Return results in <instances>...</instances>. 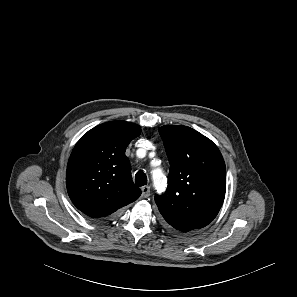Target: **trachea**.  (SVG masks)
Returning a JSON list of instances; mask_svg holds the SVG:
<instances>
[{
    "instance_id": "obj_1",
    "label": "trachea",
    "mask_w": 297,
    "mask_h": 297,
    "mask_svg": "<svg viewBox=\"0 0 297 297\" xmlns=\"http://www.w3.org/2000/svg\"><path fill=\"white\" fill-rule=\"evenodd\" d=\"M135 184L137 186H144L147 184V177L146 174L142 171H139L135 175Z\"/></svg>"
}]
</instances>
